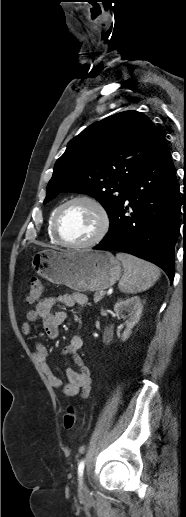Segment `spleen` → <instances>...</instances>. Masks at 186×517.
I'll return each mask as SVG.
<instances>
[{
    "label": "spleen",
    "mask_w": 186,
    "mask_h": 517,
    "mask_svg": "<svg viewBox=\"0 0 186 517\" xmlns=\"http://www.w3.org/2000/svg\"><path fill=\"white\" fill-rule=\"evenodd\" d=\"M124 275L119 281V289L123 293L136 294L152 287L160 277V270L153 264L135 256L118 253Z\"/></svg>",
    "instance_id": "1"
}]
</instances>
